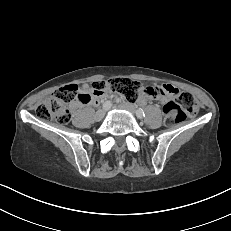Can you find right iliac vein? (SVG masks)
Segmentation results:
<instances>
[{
    "mask_svg": "<svg viewBox=\"0 0 231 231\" xmlns=\"http://www.w3.org/2000/svg\"><path fill=\"white\" fill-rule=\"evenodd\" d=\"M105 112H106L105 109H100V110H98V111L96 112V114H95V120H96V121L102 120L103 117H104V115H105Z\"/></svg>",
    "mask_w": 231,
    "mask_h": 231,
    "instance_id": "right-iliac-vein-1",
    "label": "right iliac vein"
}]
</instances>
